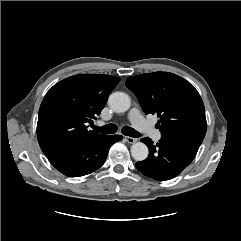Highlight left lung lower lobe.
Instances as JSON below:
<instances>
[{"label":"left lung lower lobe","mask_w":241,"mask_h":241,"mask_svg":"<svg viewBox=\"0 0 241 241\" xmlns=\"http://www.w3.org/2000/svg\"><path fill=\"white\" fill-rule=\"evenodd\" d=\"M149 148V156L137 162L136 168L158 181L176 177L194 159L203 140L198 138L163 137L156 145L150 138L141 139Z\"/></svg>","instance_id":"left-lung-lower-lobe-1"}]
</instances>
